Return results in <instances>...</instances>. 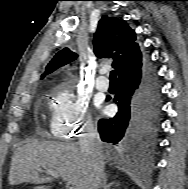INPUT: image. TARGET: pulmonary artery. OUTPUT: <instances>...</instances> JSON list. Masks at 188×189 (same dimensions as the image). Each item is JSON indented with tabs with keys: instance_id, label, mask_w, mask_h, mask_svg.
Segmentation results:
<instances>
[{
	"instance_id": "obj_1",
	"label": "pulmonary artery",
	"mask_w": 188,
	"mask_h": 189,
	"mask_svg": "<svg viewBox=\"0 0 188 189\" xmlns=\"http://www.w3.org/2000/svg\"><path fill=\"white\" fill-rule=\"evenodd\" d=\"M104 72L100 71V76L95 81V86L100 91H107L109 88V82L102 74Z\"/></svg>"
}]
</instances>
